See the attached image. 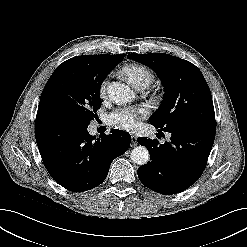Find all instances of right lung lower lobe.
<instances>
[{"label":"right lung lower lobe","instance_id":"98d812e1","mask_svg":"<svg viewBox=\"0 0 247 247\" xmlns=\"http://www.w3.org/2000/svg\"><path fill=\"white\" fill-rule=\"evenodd\" d=\"M82 126L53 113L38 111L35 137L49 174L64 188L82 192L100 185L112 161L130 146V134L111 130L96 139Z\"/></svg>","mask_w":247,"mask_h":247}]
</instances>
